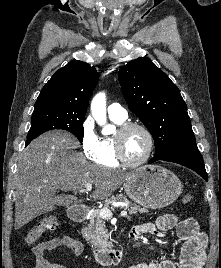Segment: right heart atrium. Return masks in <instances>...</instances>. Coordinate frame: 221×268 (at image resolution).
<instances>
[{"instance_id": "1", "label": "right heart atrium", "mask_w": 221, "mask_h": 268, "mask_svg": "<svg viewBox=\"0 0 221 268\" xmlns=\"http://www.w3.org/2000/svg\"><path fill=\"white\" fill-rule=\"evenodd\" d=\"M100 139L93 119L91 117L85 118L81 125V147L87 159L96 160L100 150Z\"/></svg>"}]
</instances>
